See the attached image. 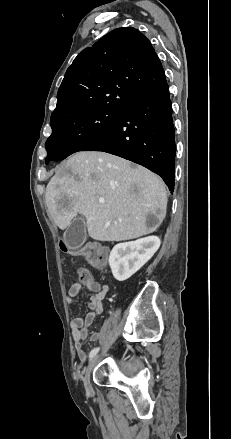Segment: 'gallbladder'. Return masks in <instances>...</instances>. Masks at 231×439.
Here are the masks:
<instances>
[{
    "mask_svg": "<svg viewBox=\"0 0 231 439\" xmlns=\"http://www.w3.org/2000/svg\"><path fill=\"white\" fill-rule=\"evenodd\" d=\"M86 223L82 217L75 218L68 226L64 240L70 249L80 248L86 241Z\"/></svg>",
    "mask_w": 231,
    "mask_h": 439,
    "instance_id": "obj_1",
    "label": "gallbladder"
}]
</instances>
